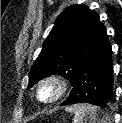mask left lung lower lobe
Here are the masks:
<instances>
[{"label": "left lung lower lobe", "mask_w": 122, "mask_h": 123, "mask_svg": "<svg viewBox=\"0 0 122 123\" xmlns=\"http://www.w3.org/2000/svg\"><path fill=\"white\" fill-rule=\"evenodd\" d=\"M113 99L112 49L109 41L85 64L61 105L89 103L105 106Z\"/></svg>", "instance_id": "0a47b994"}]
</instances>
